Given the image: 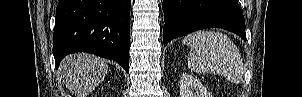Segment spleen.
Returning <instances> with one entry per match:
<instances>
[{
	"instance_id": "spleen-1",
	"label": "spleen",
	"mask_w": 302,
	"mask_h": 97,
	"mask_svg": "<svg viewBox=\"0 0 302 97\" xmlns=\"http://www.w3.org/2000/svg\"><path fill=\"white\" fill-rule=\"evenodd\" d=\"M183 44L190 47L188 67L195 73H214L240 83L244 70L239 49L225 34L200 30L189 34Z\"/></svg>"
}]
</instances>
